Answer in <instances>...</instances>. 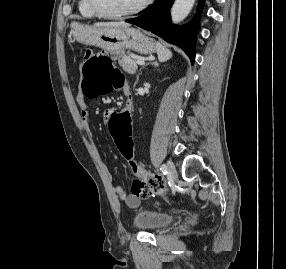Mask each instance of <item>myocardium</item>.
Segmentation results:
<instances>
[{
	"instance_id": "myocardium-1",
	"label": "myocardium",
	"mask_w": 286,
	"mask_h": 269,
	"mask_svg": "<svg viewBox=\"0 0 286 269\" xmlns=\"http://www.w3.org/2000/svg\"><path fill=\"white\" fill-rule=\"evenodd\" d=\"M89 8L94 13L95 16L103 18V19H124L129 18L135 15L140 14L143 12L152 2L153 0H144L140 5H138L136 8L122 13L117 14H110L102 11L96 3V0H87Z\"/></svg>"
}]
</instances>
